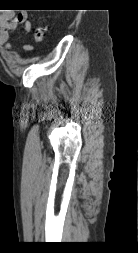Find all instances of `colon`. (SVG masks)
I'll return each instance as SVG.
<instances>
[{
    "mask_svg": "<svg viewBox=\"0 0 138 253\" xmlns=\"http://www.w3.org/2000/svg\"><path fill=\"white\" fill-rule=\"evenodd\" d=\"M46 28L44 25L40 24L36 26L33 30V37L36 43H42L45 39Z\"/></svg>",
    "mask_w": 138,
    "mask_h": 253,
    "instance_id": "5ec220e1",
    "label": "colon"
}]
</instances>
